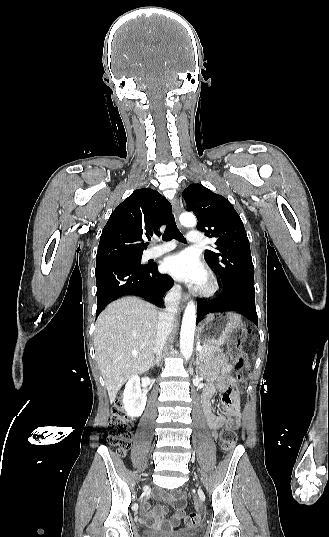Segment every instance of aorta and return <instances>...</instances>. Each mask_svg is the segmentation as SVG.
<instances>
[{"label":"aorta","instance_id":"obj_1","mask_svg":"<svg viewBox=\"0 0 329 537\" xmlns=\"http://www.w3.org/2000/svg\"><path fill=\"white\" fill-rule=\"evenodd\" d=\"M179 220L182 225L187 227H193L196 225V218L190 213H183ZM195 325L196 307L194 302L190 301L185 308L180 332V351L186 360H188L192 355Z\"/></svg>","mask_w":329,"mask_h":537}]
</instances>
